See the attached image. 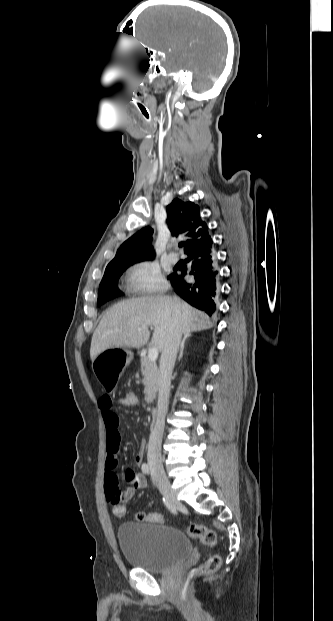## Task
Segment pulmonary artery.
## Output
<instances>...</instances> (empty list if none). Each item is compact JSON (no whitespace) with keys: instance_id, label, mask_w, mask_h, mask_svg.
<instances>
[{"instance_id":"e3ab8cb5","label":"pulmonary artery","mask_w":333,"mask_h":621,"mask_svg":"<svg viewBox=\"0 0 333 621\" xmlns=\"http://www.w3.org/2000/svg\"><path fill=\"white\" fill-rule=\"evenodd\" d=\"M168 259L172 262V263H176L179 260V256L177 253L175 252H171L168 254Z\"/></svg>"}]
</instances>
